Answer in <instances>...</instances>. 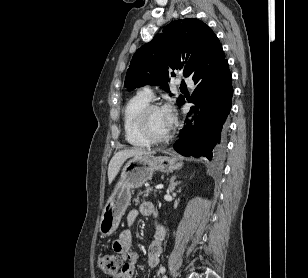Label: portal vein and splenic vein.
<instances>
[{"instance_id":"portal-vein-and-splenic-vein-1","label":"portal vein and splenic vein","mask_w":308,"mask_h":278,"mask_svg":"<svg viewBox=\"0 0 308 278\" xmlns=\"http://www.w3.org/2000/svg\"><path fill=\"white\" fill-rule=\"evenodd\" d=\"M162 188H163V185H162V184L156 185V186H155V189H156V190H160V189H162Z\"/></svg>"}]
</instances>
